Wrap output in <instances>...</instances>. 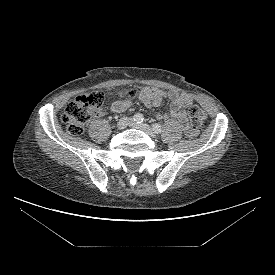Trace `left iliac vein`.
<instances>
[{"instance_id": "obj_1", "label": "left iliac vein", "mask_w": 275, "mask_h": 275, "mask_svg": "<svg viewBox=\"0 0 275 275\" xmlns=\"http://www.w3.org/2000/svg\"><path fill=\"white\" fill-rule=\"evenodd\" d=\"M130 126L144 131L146 134H148L152 138H156V134L154 130L148 124H145V123L138 124V123L132 122Z\"/></svg>"}]
</instances>
